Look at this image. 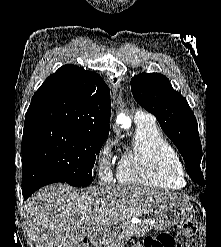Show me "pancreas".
Returning a JSON list of instances; mask_svg holds the SVG:
<instances>
[{"label":"pancreas","mask_w":221,"mask_h":247,"mask_svg":"<svg viewBox=\"0 0 221 247\" xmlns=\"http://www.w3.org/2000/svg\"><path fill=\"white\" fill-rule=\"evenodd\" d=\"M149 228L150 225L145 222L139 224L125 222L111 235L106 247H124L132 236L142 237L148 232Z\"/></svg>","instance_id":"pancreas-1"}]
</instances>
